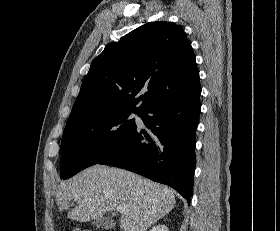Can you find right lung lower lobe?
<instances>
[{
  "instance_id": "98d812e1",
  "label": "right lung lower lobe",
  "mask_w": 280,
  "mask_h": 231,
  "mask_svg": "<svg viewBox=\"0 0 280 231\" xmlns=\"http://www.w3.org/2000/svg\"><path fill=\"white\" fill-rule=\"evenodd\" d=\"M201 88L166 99L140 116L153 135L137 128L98 164L124 168L177 190L190 204L196 165ZM149 114V115H148Z\"/></svg>"
}]
</instances>
